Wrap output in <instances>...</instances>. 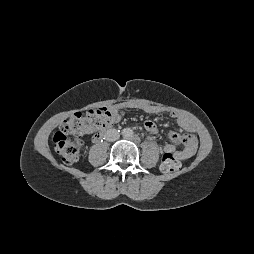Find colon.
Wrapping results in <instances>:
<instances>
[{"label": "colon", "mask_w": 254, "mask_h": 254, "mask_svg": "<svg viewBox=\"0 0 254 254\" xmlns=\"http://www.w3.org/2000/svg\"><path fill=\"white\" fill-rule=\"evenodd\" d=\"M115 108L100 107L83 114L77 113L64 121L53 137L56 152L65 164H74L79 160L83 148V135L108 128L114 124ZM179 168L178 160L170 154L163 156L161 169L170 174Z\"/></svg>", "instance_id": "colon-1"}]
</instances>
